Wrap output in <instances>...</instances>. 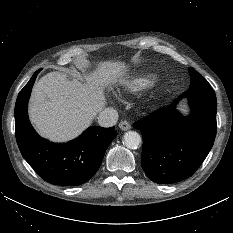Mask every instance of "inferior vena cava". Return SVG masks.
<instances>
[{"instance_id": "1", "label": "inferior vena cava", "mask_w": 233, "mask_h": 233, "mask_svg": "<svg viewBox=\"0 0 233 233\" xmlns=\"http://www.w3.org/2000/svg\"><path fill=\"white\" fill-rule=\"evenodd\" d=\"M97 119L100 126L111 127L117 123L118 112L113 108H105L99 113Z\"/></svg>"}]
</instances>
